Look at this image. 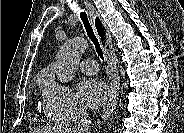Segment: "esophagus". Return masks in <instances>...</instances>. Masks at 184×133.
Listing matches in <instances>:
<instances>
[{
  "instance_id": "esophagus-1",
  "label": "esophagus",
  "mask_w": 184,
  "mask_h": 133,
  "mask_svg": "<svg viewBox=\"0 0 184 133\" xmlns=\"http://www.w3.org/2000/svg\"><path fill=\"white\" fill-rule=\"evenodd\" d=\"M85 7L87 11L89 12V16L92 22V25L94 27V30L102 44V47L104 49L105 57L107 60L108 67L110 69V97L108 100V103L104 107L103 114H102V120H106L112 111L115 108L116 100L113 96V81L116 79L117 76V69L116 64L114 62V53H113V45L111 41V35L109 33L108 27L104 23L103 19L101 18L100 14L95 10V8L89 3L88 1H84Z\"/></svg>"
}]
</instances>
